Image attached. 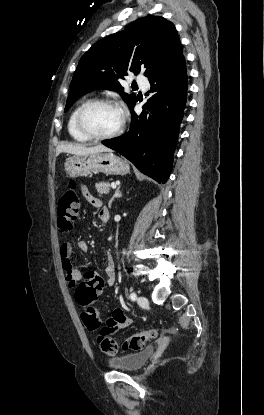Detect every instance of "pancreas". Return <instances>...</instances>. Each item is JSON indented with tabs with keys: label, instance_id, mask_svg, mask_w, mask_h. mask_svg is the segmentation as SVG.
<instances>
[{
	"label": "pancreas",
	"instance_id": "pancreas-1",
	"mask_svg": "<svg viewBox=\"0 0 264 415\" xmlns=\"http://www.w3.org/2000/svg\"><path fill=\"white\" fill-rule=\"evenodd\" d=\"M96 190L99 196L106 195L110 190V184L108 182H99L96 184Z\"/></svg>",
	"mask_w": 264,
	"mask_h": 415
}]
</instances>
